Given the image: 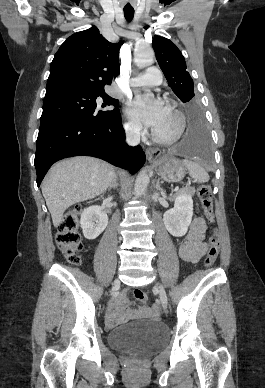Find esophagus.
<instances>
[{
  "label": "esophagus",
  "instance_id": "1",
  "mask_svg": "<svg viewBox=\"0 0 265 388\" xmlns=\"http://www.w3.org/2000/svg\"><path fill=\"white\" fill-rule=\"evenodd\" d=\"M162 151L160 148H147L146 156L149 162H153L155 158L161 155Z\"/></svg>",
  "mask_w": 265,
  "mask_h": 388
}]
</instances>
